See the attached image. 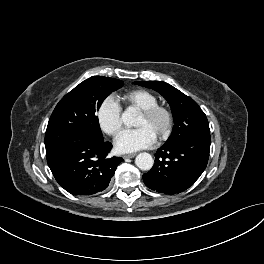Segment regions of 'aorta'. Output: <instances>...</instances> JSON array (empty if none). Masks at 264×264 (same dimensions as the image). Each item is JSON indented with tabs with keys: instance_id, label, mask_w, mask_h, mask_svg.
Wrapping results in <instances>:
<instances>
[{
	"instance_id": "aorta-1",
	"label": "aorta",
	"mask_w": 264,
	"mask_h": 264,
	"mask_svg": "<svg viewBox=\"0 0 264 264\" xmlns=\"http://www.w3.org/2000/svg\"><path fill=\"white\" fill-rule=\"evenodd\" d=\"M121 119L126 126H133L136 120V113L134 109L131 107L127 108L123 112ZM135 164L139 169L146 171L152 168L154 160L149 153L143 152L136 156Z\"/></svg>"
}]
</instances>
